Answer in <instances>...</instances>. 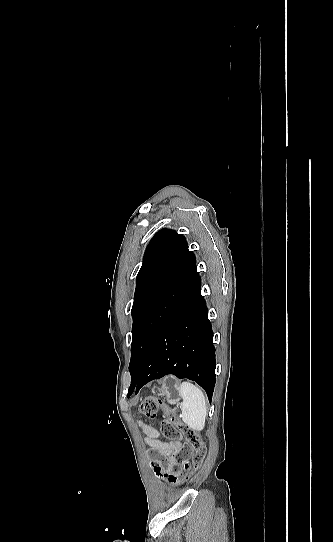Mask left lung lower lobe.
Here are the masks:
<instances>
[{
    "label": "left lung lower lobe",
    "instance_id": "left-lung-lower-lobe-1",
    "mask_svg": "<svg viewBox=\"0 0 333 542\" xmlns=\"http://www.w3.org/2000/svg\"><path fill=\"white\" fill-rule=\"evenodd\" d=\"M201 279L156 334L139 373L131 378L128 396L151 380L173 374L196 381L212 399L215 347Z\"/></svg>",
    "mask_w": 333,
    "mask_h": 542
}]
</instances>
